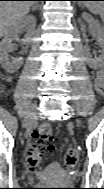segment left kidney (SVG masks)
Returning a JSON list of instances; mask_svg holds the SVG:
<instances>
[{"label":"left kidney","instance_id":"5707ae66","mask_svg":"<svg viewBox=\"0 0 104 189\" xmlns=\"http://www.w3.org/2000/svg\"><path fill=\"white\" fill-rule=\"evenodd\" d=\"M82 17L91 25L93 35L97 38L99 45L102 47L104 37L103 26L86 13H83ZM103 59L102 55L94 59L90 55L87 56V62L91 67L103 65Z\"/></svg>","mask_w":104,"mask_h":189}]
</instances>
